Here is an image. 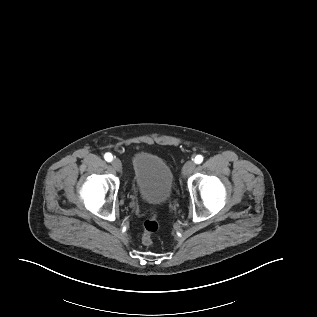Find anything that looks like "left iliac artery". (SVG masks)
<instances>
[{
    "label": "left iliac artery",
    "instance_id": "44dca946",
    "mask_svg": "<svg viewBox=\"0 0 317 317\" xmlns=\"http://www.w3.org/2000/svg\"><path fill=\"white\" fill-rule=\"evenodd\" d=\"M196 164H200L203 161V156L202 155H197L194 159Z\"/></svg>",
    "mask_w": 317,
    "mask_h": 317
}]
</instances>
